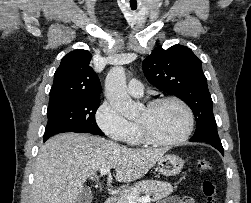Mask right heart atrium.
<instances>
[{
    "label": "right heart atrium",
    "instance_id": "d8ad5b80",
    "mask_svg": "<svg viewBox=\"0 0 251 203\" xmlns=\"http://www.w3.org/2000/svg\"><path fill=\"white\" fill-rule=\"evenodd\" d=\"M95 120L100 130L113 141H127L132 130V123L125 119L107 100H104L98 107Z\"/></svg>",
    "mask_w": 251,
    "mask_h": 203
}]
</instances>
